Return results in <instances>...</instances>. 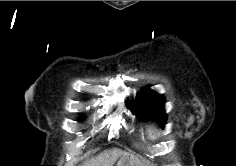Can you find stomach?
Wrapping results in <instances>:
<instances>
[{
	"instance_id": "stomach-1",
	"label": "stomach",
	"mask_w": 236,
	"mask_h": 166,
	"mask_svg": "<svg viewBox=\"0 0 236 166\" xmlns=\"http://www.w3.org/2000/svg\"><path fill=\"white\" fill-rule=\"evenodd\" d=\"M117 166H138V165H136L134 161L132 160L131 156H129V157L121 158L118 161Z\"/></svg>"
}]
</instances>
